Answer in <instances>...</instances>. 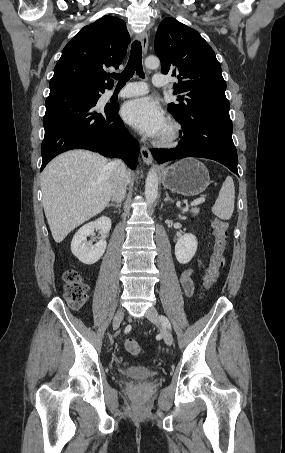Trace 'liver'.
I'll return each instance as SVG.
<instances>
[{"mask_svg":"<svg viewBox=\"0 0 285 453\" xmlns=\"http://www.w3.org/2000/svg\"><path fill=\"white\" fill-rule=\"evenodd\" d=\"M110 163L99 154L72 150L54 158L43 170L42 203L56 243L108 205L114 178ZM130 176L128 172V179Z\"/></svg>","mask_w":285,"mask_h":453,"instance_id":"6515ba94","label":"liver"}]
</instances>
